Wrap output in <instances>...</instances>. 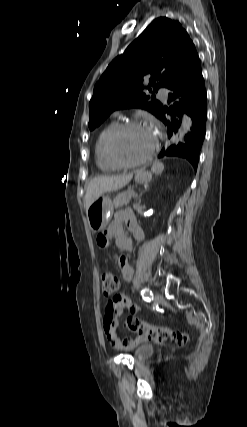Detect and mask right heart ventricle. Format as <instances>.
Here are the masks:
<instances>
[{"mask_svg": "<svg viewBox=\"0 0 247 427\" xmlns=\"http://www.w3.org/2000/svg\"><path fill=\"white\" fill-rule=\"evenodd\" d=\"M119 125L116 120L109 122L98 134L94 152L98 168L103 172H113L119 169L108 158L106 152V143L112 131Z\"/></svg>", "mask_w": 247, "mask_h": 427, "instance_id": "obj_1", "label": "right heart ventricle"}]
</instances>
